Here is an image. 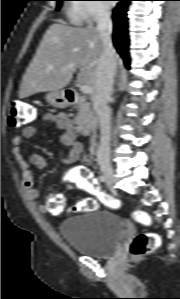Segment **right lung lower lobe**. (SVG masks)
I'll return each instance as SVG.
<instances>
[{"label":"right lung lower lobe","mask_w":180,"mask_h":299,"mask_svg":"<svg viewBox=\"0 0 180 299\" xmlns=\"http://www.w3.org/2000/svg\"><path fill=\"white\" fill-rule=\"evenodd\" d=\"M121 1L113 11V44L118 53L124 60L125 66L129 68V55H128V25H127V6L131 0Z\"/></svg>","instance_id":"98d812e1"}]
</instances>
